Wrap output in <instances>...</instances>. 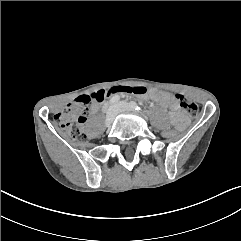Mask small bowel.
<instances>
[{
  "label": "small bowel",
  "mask_w": 241,
  "mask_h": 241,
  "mask_svg": "<svg viewBox=\"0 0 241 241\" xmlns=\"http://www.w3.org/2000/svg\"><path fill=\"white\" fill-rule=\"evenodd\" d=\"M150 98L158 102L161 106L169 108L172 111L173 119L180 125L184 123L183 116L178 111V105L175 98L167 92L153 91Z\"/></svg>",
  "instance_id": "obj_1"
}]
</instances>
